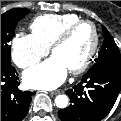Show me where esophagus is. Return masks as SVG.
<instances>
[{"mask_svg": "<svg viewBox=\"0 0 121 121\" xmlns=\"http://www.w3.org/2000/svg\"><path fill=\"white\" fill-rule=\"evenodd\" d=\"M59 93H60V90H55L50 92L51 95H57Z\"/></svg>", "mask_w": 121, "mask_h": 121, "instance_id": "1", "label": "esophagus"}]
</instances>
